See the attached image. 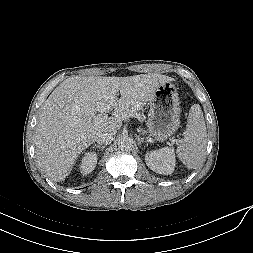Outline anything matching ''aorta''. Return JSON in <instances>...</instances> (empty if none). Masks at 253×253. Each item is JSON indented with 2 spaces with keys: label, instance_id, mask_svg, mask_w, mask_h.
I'll list each match as a JSON object with an SVG mask.
<instances>
[{
  "label": "aorta",
  "instance_id": "1",
  "mask_svg": "<svg viewBox=\"0 0 253 253\" xmlns=\"http://www.w3.org/2000/svg\"><path fill=\"white\" fill-rule=\"evenodd\" d=\"M118 147L124 151H130L133 148V140L129 137H123L118 141Z\"/></svg>",
  "mask_w": 253,
  "mask_h": 253
}]
</instances>
